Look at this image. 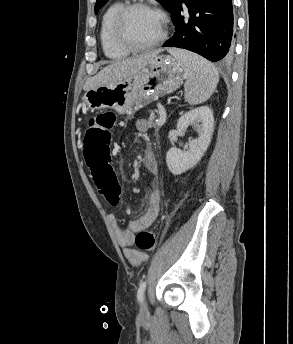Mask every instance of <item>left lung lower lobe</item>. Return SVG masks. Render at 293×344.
<instances>
[{
  "mask_svg": "<svg viewBox=\"0 0 293 344\" xmlns=\"http://www.w3.org/2000/svg\"><path fill=\"white\" fill-rule=\"evenodd\" d=\"M183 4L189 20H185ZM172 17L175 33L163 47L184 48L212 62L231 61L235 36L232 0H180Z\"/></svg>",
  "mask_w": 293,
  "mask_h": 344,
  "instance_id": "0a47b994",
  "label": "left lung lower lobe"
}]
</instances>
